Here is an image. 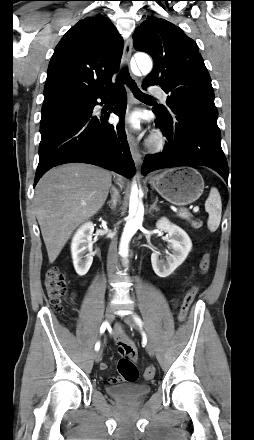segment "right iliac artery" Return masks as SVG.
I'll return each mask as SVG.
<instances>
[{"label": "right iliac artery", "mask_w": 254, "mask_h": 440, "mask_svg": "<svg viewBox=\"0 0 254 440\" xmlns=\"http://www.w3.org/2000/svg\"><path fill=\"white\" fill-rule=\"evenodd\" d=\"M108 327H109V323L108 322H104L101 325V327H100V333H103L106 330V328H108ZM99 348H100V343L97 342L96 345H95V350L98 351Z\"/></svg>", "instance_id": "1"}]
</instances>
